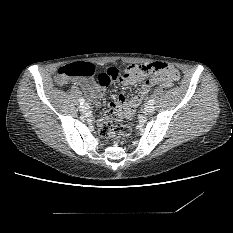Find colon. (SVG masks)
Instances as JSON below:
<instances>
[{
	"label": "colon",
	"mask_w": 233,
	"mask_h": 233,
	"mask_svg": "<svg viewBox=\"0 0 233 233\" xmlns=\"http://www.w3.org/2000/svg\"><path fill=\"white\" fill-rule=\"evenodd\" d=\"M174 69L171 65L157 62L150 65L142 64H130L125 68L124 75L128 78H134L139 80H147L150 82L157 73H173ZM96 74V67L89 61H79L72 64H68L60 67L55 75V81L59 85L67 84L73 78H90ZM100 74L98 75V78ZM134 112L132 107H127L123 111L114 112L108 110L98 120L99 134L108 138L114 137H128L130 135V126L126 122V119L131 117ZM116 122L114 126L112 122Z\"/></svg>",
	"instance_id": "obj_1"
}]
</instances>
